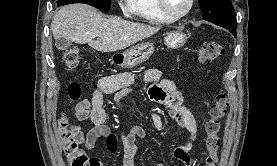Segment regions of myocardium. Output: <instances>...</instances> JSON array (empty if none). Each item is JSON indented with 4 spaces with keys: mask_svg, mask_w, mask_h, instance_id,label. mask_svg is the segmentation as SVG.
I'll return each instance as SVG.
<instances>
[{
    "mask_svg": "<svg viewBox=\"0 0 277 166\" xmlns=\"http://www.w3.org/2000/svg\"><path fill=\"white\" fill-rule=\"evenodd\" d=\"M156 1H157V5H158V8L161 11V13L164 16H166L168 19H170L171 21H176V20L184 18L191 12V10L194 6V0H188V4H187V7L185 8V10L182 11L181 13L175 14L169 10L166 0H156Z\"/></svg>",
    "mask_w": 277,
    "mask_h": 166,
    "instance_id": "myocardium-1",
    "label": "myocardium"
}]
</instances>
